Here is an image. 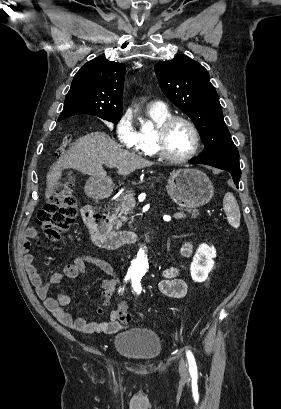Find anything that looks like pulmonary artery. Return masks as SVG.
Listing matches in <instances>:
<instances>
[{"mask_svg": "<svg viewBox=\"0 0 281 409\" xmlns=\"http://www.w3.org/2000/svg\"><path fill=\"white\" fill-rule=\"evenodd\" d=\"M154 108L156 111H163L165 108V105L163 102H156L154 105Z\"/></svg>", "mask_w": 281, "mask_h": 409, "instance_id": "obj_1", "label": "pulmonary artery"}]
</instances>
